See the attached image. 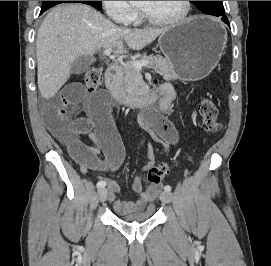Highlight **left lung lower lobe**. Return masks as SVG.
<instances>
[{"label":"left lung lower lobe","instance_id":"obj_1","mask_svg":"<svg viewBox=\"0 0 271 266\" xmlns=\"http://www.w3.org/2000/svg\"><path fill=\"white\" fill-rule=\"evenodd\" d=\"M221 20L226 23L227 25H229V21L227 19V17L224 15V16H221Z\"/></svg>","mask_w":271,"mask_h":266}]
</instances>
